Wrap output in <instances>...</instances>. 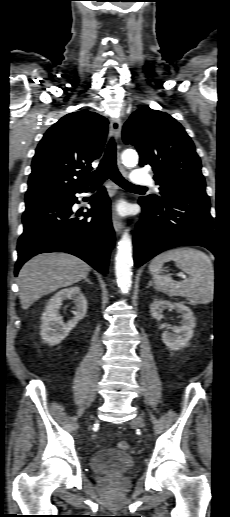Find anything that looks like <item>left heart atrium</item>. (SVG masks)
I'll return each instance as SVG.
<instances>
[{
  "instance_id": "1",
  "label": "left heart atrium",
  "mask_w": 230,
  "mask_h": 517,
  "mask_svg": "<svg viewBox=\"0 0 230 517\" xmlns=\"http://www.w3.org/2000/svg\"><path fill=\"white\" fill-rule=\"evenodd\" d=\"M120 210H121L122 212H124V207H121V208H120Z\"/></svg>"
}]
</instances>
